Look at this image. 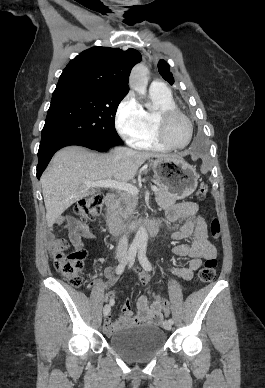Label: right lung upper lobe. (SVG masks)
Masks as SVG:
<instances>
[{"mask_svg":"<svg viewBox=\"0 0 265 388\" xmlns=\"http://www.w3.org/2000/svg\"><path fill=\"white\" fill-rule=\"evenodd\" d=\"M141 54L135 49L92 47L63 70L54 93L73 90H114L128 93V77Z\"/></svg>","mask_w":265,"mask_h":388,"instance_id":"obj_1","label":"right lung upper lobe"}]
</instances>
